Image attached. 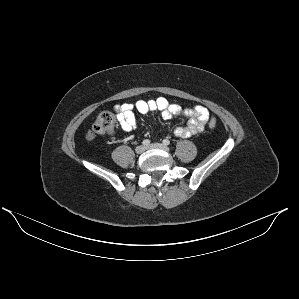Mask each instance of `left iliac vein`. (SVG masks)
Listing matches in <instances>:
<instances>
[{
  "label": "left iliac vein",
  "instance_id": "left-iliac-vein-1",
  "mask_svg": "<svg viewBox=\"0 0 299 299\" xmlns=\"http://www.w3.org/2000/svg\"><path fill=\"white\" fill-rule=\"evenodd\" d=\"M147 149H159L165 152H169V148L166 145L161 143H152L147 147Z\"/></svg>",
  "mask_w": 299,
  "mask_h": 299
}]
</instances>
